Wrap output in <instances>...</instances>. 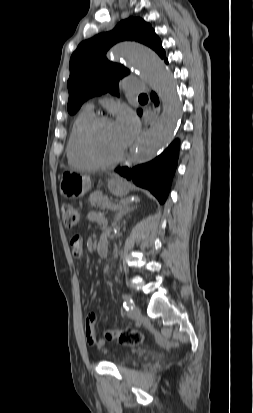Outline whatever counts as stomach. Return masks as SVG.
I'll list each match as a JSON object with an SVG mask.
<instances>
[{
	"label": "stomach",
	"instance_id": "1",
	"mask_svg": "<svg viewBox=\"0 0 253 413\" xmlns=\"http://www.w3.org/2000/svg\"><path fill=\"white\" fill-rule=\"evenodd\" d=\"M91 188L89 176L72 171H65L60 179V193L67 198H80ZM110 192L118 197L126 196L129 192L127 183L119 178L108 182Z\"/></svg>",
	"mask_w": 253,
	"mask_h": 413
}]
</instances>
